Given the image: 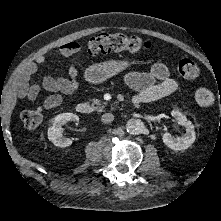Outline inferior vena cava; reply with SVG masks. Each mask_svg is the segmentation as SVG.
I'll return each instance as SVG.
<instances>
[{
  "label": "inferior vena cava",
  "mask_w": 221,
  "mask_h": 221,
  "mask_svg": "<svg viewBox=\"0 0 221 221\" xmlns=\"http://www.w3.org/2000/svg\"><path fill=\"white\" fill-rule=\"evenodd\" d=\"M114 120V115L113 114H111V113H105V114H103L102 115V117H101V121L103 122V123H110V122H112Z\"/></svg>",
  "instance_id": "inferior-vena-cava-1"
}]
</instances>
